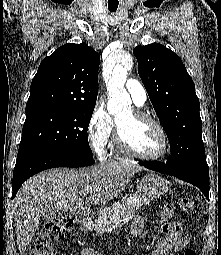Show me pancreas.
I'll return each mask as SVG.
<instances>
[{
	"instance_id": "1",
	"label": "pancreas",
	"mask_w": 221,
	"mask_h": 255,
	"mask_svg": "<svg viewBox=\"0 0 221 255\" xmlns=\"http://www.w3.org/2000/svg\"><path fill=\"white\" fill-rule=\"evenodd\" d=\"M143 201L136 194H126L120 201L115 202L111 207H106L99 217L95 218L88 225V229L103 234L111 231L122 221L132 219Z\"/></svg>"
}]
</instances>
